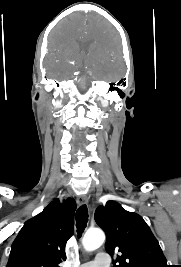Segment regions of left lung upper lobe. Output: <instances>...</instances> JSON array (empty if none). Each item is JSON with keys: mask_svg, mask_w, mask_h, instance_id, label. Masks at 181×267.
Wrapping results in <instances>:
<instances>
[{"mask_svg": "<svg viewBox=\"0 0 181 267\" xmlns=\"http://www.w3.org/2000/svg\"><path fill=\"white\" fill-rule=\"evenodd\" d=\"M95 221L106 233V251L111 256L119 253L114 267H169L158 241L138 214L108 201L96 209Z\"/></svg>", "mask_w": 181, "mask_h": 267, "instance_id": "1", "label": "left lung upper lobe"}]
</instances>
